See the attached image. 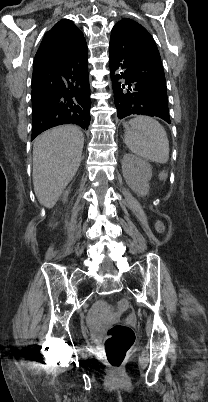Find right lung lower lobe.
Here are the masks:
<instances>
[{"mask_svg": "<svg viewBox=\"0 0 208 402\" xmlns=\"http://www.w3.org/2000/svg\"><path fill=\"white\" fill-rule=\"evenodd\" d=\"M88 51L85 39L59 56L33 62L31 140L62 124L90 123Z\"/></svg>", "mask_w": 208, "mask_h": 402, "instance_id": "right-lung-lower-lobe-1", "label": "right lung lower lobe"}]
</instances>
